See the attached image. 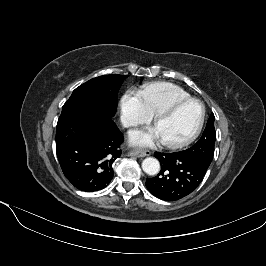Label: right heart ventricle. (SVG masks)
Segmentation results:
<instances>
[{
    "label": "right heart ventricle",
    "mask_w": 266,
    "mask_h": 266,
    "mask_svg": "<svg viewBox=\"0 0 266 266\" xmlns=\"http://www.w3.org/2000/svg\"><path fill=\"white\" fill-rule=\"evenodd\" d=\"M141 95L152 116L176 101L190 98L188 92L170 82L147 84L142 89Z\"/></svg>",
    "instance_id": "1"
}]
</instances>
